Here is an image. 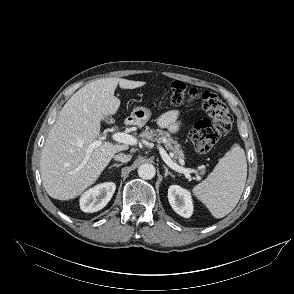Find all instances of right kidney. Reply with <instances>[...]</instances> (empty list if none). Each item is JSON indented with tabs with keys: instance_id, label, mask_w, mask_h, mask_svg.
Masks as SVG:
<instances>
[{
	"instance_id": "ca27d5eb",
	"label": "right kidney",
	"mask_w": 294,
	"mask_h": 294,
	"mask_svg": "<svg viewBox=\"0 0 294 294\" xmlns=\"http://www.w3.org/2000/svg\"><path fill=\"white\" fill-rule=\"evenodd\" d=\"M116 189L113 182L101 183L90 188L80 198V208L83 212L93 213L103 209L111 200Z\"/></svg>"
}]
</instances>
